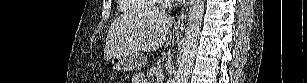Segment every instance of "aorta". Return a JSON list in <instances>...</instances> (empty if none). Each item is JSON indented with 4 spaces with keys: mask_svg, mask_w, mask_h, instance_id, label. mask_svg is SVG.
Returning <instances> with one entry per match:
<instances>
[{
    "mask_svg": "<svg viewBox=\"0 0 307 83\" xmlns=\"http://www.w3.org/2000/svg\"><path fill=\"white\" fill-rule=\"evenodd\" d=\"M205 0H191L185 30V44L175 76V83H187L197 50Z\"/></svg>",
    "mask_w": 307,
    "mask_h": 83,
    "instance_id": "762f6f07",
    "label": "aorta"
}]
</instances>
